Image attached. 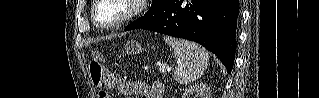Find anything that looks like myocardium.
<instances>
[{"instance_id":"f54148a6","label":"myocardium","mask_w":319,"mask_h":98,"mask_svg":"<svg viewBox=\"0 0 319 98\" xmlns=\"http://www.w3.org/2000/svg\"><path fill=\"white\" fill-rule=\"evenodd\" d=\"M104 1L106 0H96L94 2L92 10H91V18L95 26L101 29H106V30L118 28L126 23L131 22L140 14H142V12L144 11L146 7V3L148 2L146 0H122V1H125L130 6L128 13L112 23L102 24L98 21L97 10Z\"/></svg>"}]
</instances>
